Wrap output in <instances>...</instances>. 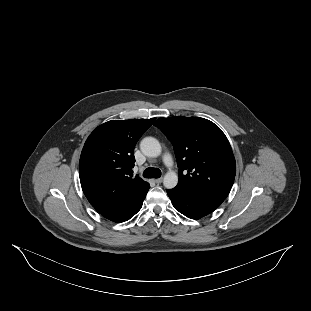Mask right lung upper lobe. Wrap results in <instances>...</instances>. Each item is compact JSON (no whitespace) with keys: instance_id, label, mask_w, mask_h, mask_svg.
<instances>
[{"instance_id":"right-lung-upper-lobe-1","label":"right lung upper lobe","mask_w":311,"mask_h":311,"mask_svg":"<svg viewBox=\"0 0 311 311\" xmlns=\"http://www.w3.org/2000/svg\"><path fill=\"white\" fill-rule=\"evenodd\" d=\"M152 119L112 120L97 127L80 156L79 176L91 205L105 218L126 221L150 185L135 177L134 147Z\"/></svg>"}]
</instances>
